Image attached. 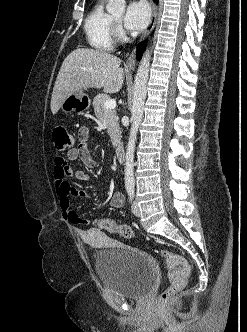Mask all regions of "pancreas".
Returning <instances> with one entry per match:
<instances>
[{
	"label": "pancreas",
	"mask_w": 247,
	"mask_h": 332,
	"mask_svg": "<svg viewBox=\"0 0 247 332\" xmlns=\"http://www.w3.org/2000/svg\"><path fill=\"white\" fill-rule=\"evenodd\" d=\"M110 99L108 95L105 94H99L94 98L93 101V107L96 117L103 121V119L107 122V133L109 134L111 138L112 145L114 147L118 146L120 144L121 139V131L120 126L118 123V119L116 116V112L111 109H106L104 107V103L106 100Z\"/></svg>",
	"instance_id": "1"
}]
</instances>
